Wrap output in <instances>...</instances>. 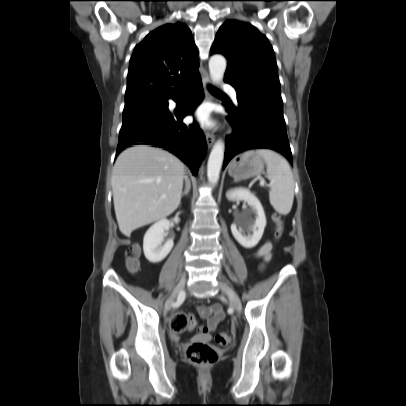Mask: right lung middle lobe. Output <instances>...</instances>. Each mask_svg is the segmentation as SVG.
I'll use <instances>...</instances> for the list:
<instances>
[{
    "mask_svg": "<svg viewBox=\"0 0 406 406\" xmlns=\"http://www.w3.org/2000/svg\"><path fill=\"white\" fill-rule=\"evenodd\" d=\"M168 112L167 99L144 100L125 106L120 133L155 124Z\"/></svg>",
    "mask_w": 406,
    "mask_h": 406,
    "instance_id": "1",
    "label": "right lung middle lobe"
}]
</instances>
